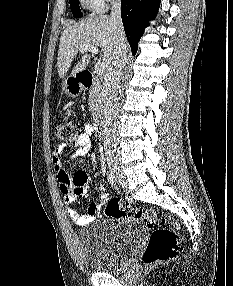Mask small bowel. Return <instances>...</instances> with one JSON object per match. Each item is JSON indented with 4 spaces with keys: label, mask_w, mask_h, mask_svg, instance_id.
Instances as JSON below:
<instances>
[{
    "label": "small bowel",
    "mask_w": 233,
    "mask_h": 286,
    "mask_svg": "<svg viewBox=\"0 0 233 286\" xmlns=\"http://www.w3.org/2000/svg\"><path fill=\"white\" fill-rule=\"evenodd\" d=\"M94 134V128L86 125L83 133H81L74 141V155L77 157H85L91 153L92 143L91 137ZM67 149V145L61 143L57 145L52 154V167L61 193L64 195V204L67 207L69 218L79 226H86L98 218V203L92 202L86 208V213L80 214L71 208V205L78 199L84 197L88 191L87 174L78 172L75 176H71L63 167L61 155ZM109 195L103 196L108 199Z\"/></svg>",
    "instance_id": "c3829d8e"
}]
</instances>
